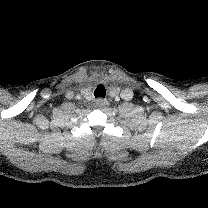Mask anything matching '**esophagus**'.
<instances>
[{
  "mask_svg": "<svg viewBox=\"0 0 208 208\" xmlns=\"http://www.w3.org/2000/svg\"><path fill=\"white\" fill-rule=\"evenodd\" d=\"M108 104H109L108 101L105 100V99H98V100H96V105H97L98 107H105V106H107Z\"/></svg>",
  "mask_w": 208,
  "mask_h": 208,
  "instance_id": "esophagus-1",
  "label": "esophagus"
}]
</instances>
